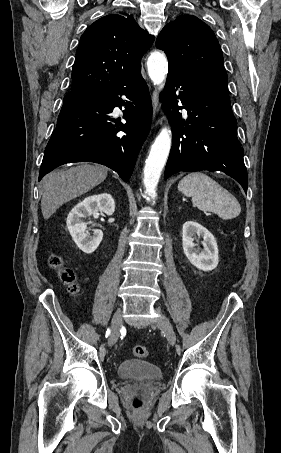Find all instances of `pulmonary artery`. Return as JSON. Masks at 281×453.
<instances>
[{
  "instance_id": "1",
  "label": "pulmonary artery",
  "mask_w": 281,
  "mask_h": 453,
  "mask_svg": "<svg viewBox=\"0 0 281 453\" xmlns=\"http://www.w3.org/2000/svg\"><path fill=\"white\" fill-rule=\"evenodd\" d=\"M117 110H118V107H115V111H117Z\"/></svg>"
}]
</instances>
